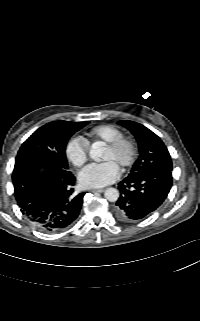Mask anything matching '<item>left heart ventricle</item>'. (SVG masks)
Masks as SVG:
<instances>
[{"label":"left heart ventricle","instance_id":"left-heart-ventricle-1","mask_svg":"<svg viewBox=\"0 0 200 321\" xmlns=\"http://www.w3.org/2000/svg\"><path fill=\"white\" fill-rule=\"evenodd\" d=\"M128 148L126 146L120 148L118 151H111L108 148H105L102 155V160L113 161L118 167L126 160L128 156Z\"/></svg>","mask_w":200,"mask_h":321}]
</instances>
